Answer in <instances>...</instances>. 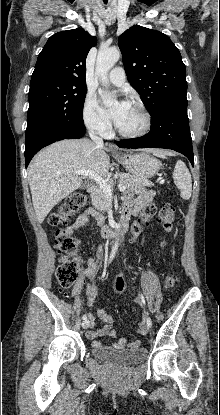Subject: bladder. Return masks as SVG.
I'll use <instances>...</instances> for the list:
<instances>
[{
	"label": "bladder",
	"mask_w": 220,
	"mask_h": 415,
	"mask_svg": "<svg viewBox=\"0 0 220 415\" xmlns=\"http://www.w3.org/2000/svg\"><path fill=\"white\" fill-rule=\"evenodd\" d=\"M92 354L95 358L115 366H129L139 364L147 356L145 348L116 351L103 346H93Z\"/></svg>",
	"instance_id": "1"
}]
</instances>
